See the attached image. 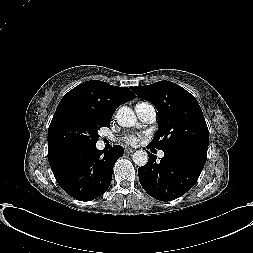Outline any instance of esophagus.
<instances>
[{"label":"esophagus","instance_id":"esophagus-1","mask_svg":"<svg viewBox=\"0 0 253 253\" xmlns=\"http://www.w3.org/2000/svg\"><path fill=\"white\" fill-rule=\"evenodd\" d=\"M126 152H127V153H133V152H135V149L126 148Z\"/></svg>","mask_w":253,"mask_h":253}]
</instances>
